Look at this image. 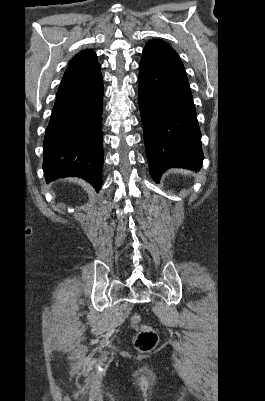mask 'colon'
Wrapping results in <instances>:
<instances>
[{
  "mask_svg": "<svg viewBox=\"0 0 265 401\" xmlns=\"http://www.w3.org/2000/svg\"><path fill=\"white\" fill-rule=\"evenodd\" d=\"M131 327L136 331L135 348L141 353L151 352L157 345L158 335L156 331L141 323V316L135 313L130 318Z\"/></svg>",
  "mask_w": 265,
  "mask_h": 401,
  "instance_id": "obj_1",
  "label": "colon"
}]
</instances>
